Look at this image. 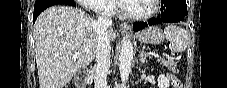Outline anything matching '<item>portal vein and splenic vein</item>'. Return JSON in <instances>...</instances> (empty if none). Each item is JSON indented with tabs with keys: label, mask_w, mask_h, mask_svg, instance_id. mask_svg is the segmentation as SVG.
<instances>
[{
	"label": "portal vein and splenic vein",
	"mask_w": 227,
	"mask_h": 88,
	"mask_svg": "<svg viewBox=\"0 0 227 88\" xmlns=\"http://www.w3.org/2000/svg\"><path fill=\"white\" fill-rule=\"evenodd\" d=\"M149 55H153L155 57H159V54L153 53V52H148ZM80 56V52H75L73 55V59H77Z\"/></svg>",
	"instance_id": "18ae733b"
}]
</instances>
